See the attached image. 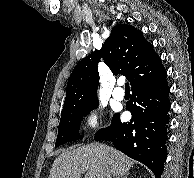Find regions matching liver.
Returning a JSON list of instances; mask_svg holds the SVG:
<instances>
[{
    "label": "liver",
    "instance_id": "obj_1",
    "mask_svg": "<svg viewBox=\"0 0 194 178\" xmlns=\"http://www.w3.org/2000/svg\"><path fill=\"white\" fill-rule=\"evenodd\" d=\"M134 161L113 147L92 143L64 151L54 161L49 178H103L106 171L121 176L133 167Z\"/></svg>",
    "mask_w": 194,
    "mask_h": 178
}]
</instances>
